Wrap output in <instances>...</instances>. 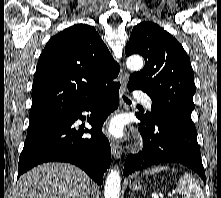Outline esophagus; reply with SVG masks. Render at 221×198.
I'll return each mask as SVG.
<instances>
[{
	"label": "esophagus",
	"instance_id": "esophagus-1",
	"mask_svg": "<svg viewBox=\"0 0 221 198\" xmlns=\"http://www.w3.org/2000/svg\"><path fill=\"white\" fill-rule=\"evenodd\" d=\"M127 81H128V74L125 73L124 76L121 79V92L124 94L126 92V88H127ZM111 150H112V155L116 158L119 159L121 158L122 155V146L121 144L116 141L113 140L111 143Z\"/></svg>",
	"mask_w": 221,
	"mask_h": 198
}]
</instances>
